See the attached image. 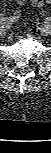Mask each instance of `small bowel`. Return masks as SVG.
<instances>
[{"instance_id": "small-bowel-1", "label": "small bowel", "mask_w": 51, "mask_h": 153, "mask_svg": "<svg viewBox=\"0 0 51 153\" xmlns=\"http://www.w3.org/2000/svg\"><path fill=\"white\" fill-rule=\"evenodd\" d=\"M17 4V8L15 11L8 17V20L10 21H16L20 18L21 16V7L28 1V0H15ZM30 3L34 8H40L44 4L49 3L51 0H29ZM40 2V3H39Z\"/></svg>"}]
</instances>
